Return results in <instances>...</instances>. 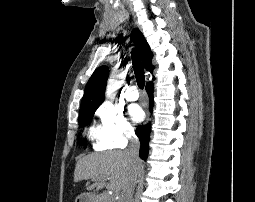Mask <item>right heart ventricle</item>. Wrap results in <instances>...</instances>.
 I'll use <instances>...</instances> for the list:
<instances>
[{"instance_id": "right-heart-ventricle-1", "label": "right heart ventricle", "mask_w": 255, "mask_h": 202, "mask_svg": "<svg viewBox=\"0 0 255 202\" xmlns=\"http://www.w3.org/2000/svg\"><path fill=\"white\" fill-rule=\"evenodd\" d=\"M89 136L96 141V143L98 144L99 139H100V129L96 126H92L89 129Z\"/></svg>"}]
</instances>
